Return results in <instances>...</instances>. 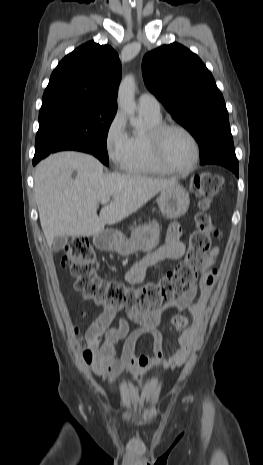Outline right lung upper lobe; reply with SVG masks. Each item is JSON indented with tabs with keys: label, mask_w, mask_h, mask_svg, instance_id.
Wrapping results in <instances>:
<instances>
[{
	"label": "right lung upper lobe",
	"mask_w": 263,
	"mask_h": 465,
	"mask_svg": "<svg viewBox=\"0 0 263 465\" xmlns=\"http://www.w3.org/2000/svg\"><path fill=\"white\" fill-rule=\"evenodd\" d=\"M121 80L118 54L108 45L85 43L68 54L53 71L42 104L71 100L117 109Z\"/></svg>",
	"instance_id": "obj_1"
}]
</instances>
